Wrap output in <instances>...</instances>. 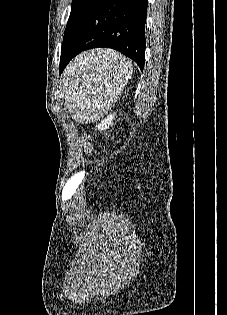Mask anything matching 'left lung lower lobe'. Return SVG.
Returning a JSON list of instances; mask_svg holds the SVG:
<instances>
[{"label":"left lung lower lobe","instance_id":"obj_1","mask_svg":"<svg viewBox=\"0 0 227 315\" xmlns=\"http://www.w3.org/2000/svg\"><path fill=\"white\" fill-rule=\"evenodd\" d=\"M147 4L148 0H98L63 45L60 74L77 54L98 47L123 53L143 71Z\"/></svg>","mask_w":227,"mask_h":315}]
</instances>
